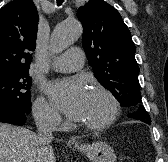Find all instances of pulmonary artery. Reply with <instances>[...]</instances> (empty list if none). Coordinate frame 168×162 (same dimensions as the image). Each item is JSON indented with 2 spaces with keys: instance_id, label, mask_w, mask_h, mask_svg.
<instances>
[{
  "instance_id": "pulmonary-artery-1",
  "label": "pulmonary artery",
  "mask_w": 168,
  "mask_h": 162,
  "mask_svg": "<svg viewBox=\"0 0 168 162\" xmlns=\"http://www.w3.org/2000/svg\"><path fill=\"white\" fill-rule=\"evenodd\" d=\"M84 59L83 51L78 47H73L58 56L51 67L61 72H74L82 68Z\"/></svg>"
}]
</instances>
